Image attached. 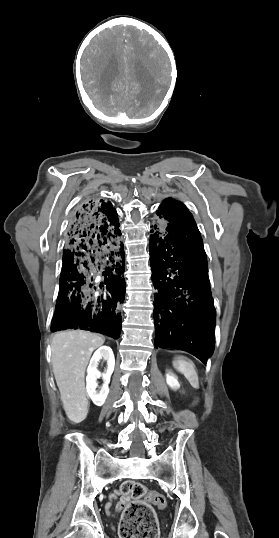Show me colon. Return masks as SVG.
Here are the masks:
<instances>
[{
  "label": "colon",
  "instance_id": "5ec220e1",
  "mask_svg": "<svg viewBox=\"0 0 279 538\" xmlns=\"http://www.w3.org/2000/svg\"><path fill=\"white\" fill-rule=\"evenodd\" d=\"M121 492L132 497L119 526L121 538H156L158 524L150 504L163 509L166 498L157 491H147L145 487L133 481L122 484Z\"/></svg>",
  "mask_w": 279,
  "mask_h": 538
}]
</instances>
